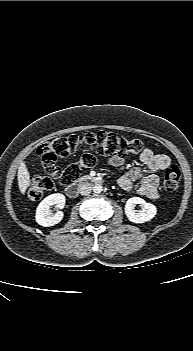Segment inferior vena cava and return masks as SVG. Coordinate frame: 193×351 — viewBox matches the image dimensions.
Masks as SVG:
<instances>
[{"instance_id": "602c4592", "label": "inferior vena cava", "mask_w": 193, "mask_h": 351, "mask_svg": "<svg viewBox=\"0 0 193 351\" xmlns=\"http://www.w3.org/2000/svg\"><path fill=\"white\" fill-rule=\"evenodd\" d=\"M92 187L89 183H83L80 188H79V192L81 195H89L91 193Z\"/></svg>"}]
</instances>
